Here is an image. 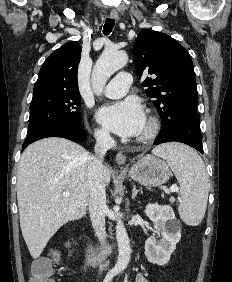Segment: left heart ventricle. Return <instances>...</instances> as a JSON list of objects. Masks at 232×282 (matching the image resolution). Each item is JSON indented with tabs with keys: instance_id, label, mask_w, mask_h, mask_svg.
Returning a JSON list of instances; mask_svg holds the SVG:
<instances>
[{
	"instance_id": "b2bd125f",
	"label": "left heart ventricle",
	"mask_w": 232,
	"mask_h": 282,
	"mask_svg": "<svg viewBox=\"0 0 232 282\" xmlns=\"http://www.w3.org/2000/svg\"><path fill=\"white\" fill-rule=\"evenodd\" d=\"M145 125H146V123H145ZM145 125H144V128L142 129L141 133L144 131V129H145ZM141 133H140V134H141Z\"/></svg>"
}]
</instances>
